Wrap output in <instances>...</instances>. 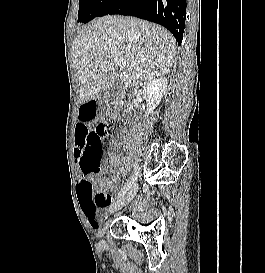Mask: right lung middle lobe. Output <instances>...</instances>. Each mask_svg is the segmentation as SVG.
<instances>
[{
	"instance_id": "right-lung-middle-lobe-1",
	"label": "right lung middle lobe",
	"mask_w": 265,
	"mask_h": 273,
	"mask_svg": "<svg viewBox=\"0 0 265 273\" xmlns=\"http://www.w3.org/2000/svg\"><path fill=\"white\" fill-rule=\"evenodd\" d=\"M117 0H79L78 22L87 23L90 20L107 15Z\"/></svg>"
}]
</instances>
